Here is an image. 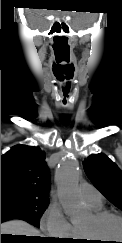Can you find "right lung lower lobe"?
Returning a JSON list of instances; mask_svg holds the SVG:
<instances>
[{"label":"right lung lower lobe","mask_w":122,"mask_h":243,"mask_svg":"<svg viewBox=\"0 0 122 243\" xmlns=\"http://www.w3.org/2000/svg\"><path fill=\"white\" fill-rule=\"evenodd\" d=\"M11 219H21V220L29 222L30 224H32L36 227H39L29 216H27L25 214L1 212V223L5 222L7 220H11ZM40 241L43 242V243H52L51 240L48 239V238H43Z\"/></svg>","instance_id":"98d812e1"}]
</instances>
